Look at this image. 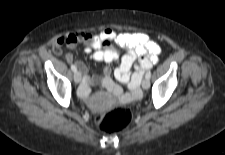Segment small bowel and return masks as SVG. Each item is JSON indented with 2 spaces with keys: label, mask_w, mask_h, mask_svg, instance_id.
I'll return each mask as SVG.
<instances>
[{
  "label": "small bowel",
  "mask_w": 225,
  "mask_h": 155,
  "mask_svg": "<svg viewBox=\"0 0 225 155\" xmlns=\"http://www.w3.org/2000/svg\"><path fill=\"white\" fill-rule=\"evenodd\" d=\"M82 43L85 52L95 62L111 63L120 58L119 51L112 46L115 43L125 53L120 58V65L114 72L117 81L127 84L129 91L124 92L120 86L111 79L109 67L103 68L101 73L93 78L88 74V68L82 61L76 65L84 74L82 84L79 88V95L88 99L91 92V85L94 81L100 87L110 93L114 100L120 103H129L140 97L139 83L145 70L150 69L158 61L160 47L144 33H116L112 29H104L98 34L88 32H75L60 37L53 45V52L60 55L62 47L73 48ZM66 59L71 62L73 56L66 54ZM134 68V72H132ZM111 99L106 98L102 103L109 104Z\"/></svg>",
  "instance_id": "obj_1"
}]
</instances>
